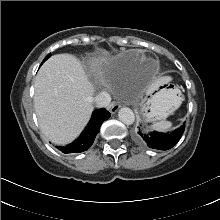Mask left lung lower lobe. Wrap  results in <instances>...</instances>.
Masks as SVG:
<instances>
[{
	"mask_svg": "<svg viewBox=\"0 0 220 220\" xmlns=\"http://www.w3.org/2000/svg\"><path fill=\"white\" fill-rule=\"evenodd\" d=\"M184 129V125L171 133H160L156 131L152 133H146L145 131L139 129L136 134V138L140 143L145 144L150 148L168 150L180 140Z\"/></svg>",
	"mask_w": 220,
	"mask_h": 220,
	"instance_id": "obj_1",
	"label": "left lung lower lobe"
}]
</instances>
